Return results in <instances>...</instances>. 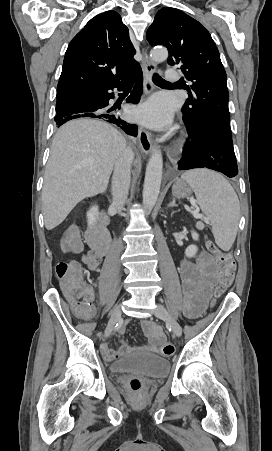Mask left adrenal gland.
<instances>
[{
  "mask_svg": "<svg viewBox=\"0 0 272 451\" xmlns=\"http://www.w3.org/2000/svg\"><path fill=\"white\" fill-rule=\"evenodd\" d=\"M172 206H177V204H175V198H173L171 204H168V208H172Z\"/></svg>",
  "mask_w": 272,
  "mask_h": 451,
  "instance_id": "left-adrenal-gland-1",
  "label": "left adrenal gland"
}]
</instances>
